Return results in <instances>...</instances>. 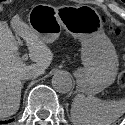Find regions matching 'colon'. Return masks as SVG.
I'll list each match as a JSON object with an SVG mask.
<instances>
[{
	"label": "colon",
	"mask_w": 125,
	"mask_h": 125,
	"mask_svg": "<svg viewBox=\"0 0 125 125\" xmlns=\"http://www.w3.org/2000/svg\"><path fill=\"white\" fill-rule=\"evenodd\" d=\"M103 21L106 22V19L104 17H103ZM113 30L116 34L120 33V30L118 28H113ZM124 61H125V54H124ZM119 83L121 86L125 87V63H124V68L119 75Z\"/></svg>",
	"instance_id": "obj_1"
}]
</instances>
